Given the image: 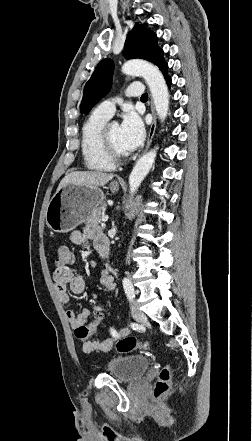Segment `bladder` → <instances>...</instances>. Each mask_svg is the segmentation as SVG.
Wrapping results in <instances>:
<instances>
[{
	"label": "bladder",
	"mask_w": 252,
	"mask_h": 441,
	"mask_svg": "<svg viewBox=\"0 0 252 441\" xmlns=\"http://www.w3.org/2000/svg\"><path fill=\"white\" fill-rule=\"evenodd\" d=\"M150 367V359L145 355L112 358L107 363L109 373L117 380L133 382L141 378Z\"/></svg>",
	"instance_id": "31cf9c89"
}]
</instances>
